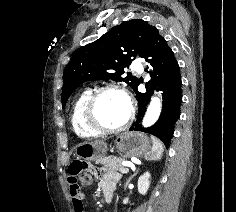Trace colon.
Returning a JSON list of instances; mask_svg holds the SVG:
<instances>
[{
  "mask_svg": "<svg viewBox=\"0 0 236 212\" xmlns=\"http://www.w3.org/2000/svg\"><path fill=\"white\" fill-rule=\"evenodd\" d=\"M71 175H78L81 179V186H87L92 183L97 175L94 168L90 167L85 162L75 161L70 166Z\"/></svg>",
  "mask_w": 236,
  "mask_h": 212,
  "instance_id": "colon-1",
  "label": "colon"
}]
</instances>
